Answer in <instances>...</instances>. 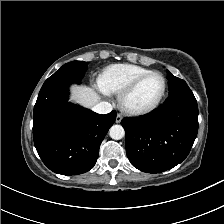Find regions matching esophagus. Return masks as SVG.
Masks as SVG:
<instances>
[{"instance_id":"esophagus-1","label":"esophagus","mask_w":224,"mask_h":224,"mask_svg":"<svg viewBox=\"0 0 224 224\" xmlns=\"http://www.w3.org/2000/svg\"><path fill=\"white\" fill-rule=\"evenodd\" d=\"M122 119H123V116H122V114H117V116H116V123H120L121 121H122Z\"/></svg>"}]
</instances>
